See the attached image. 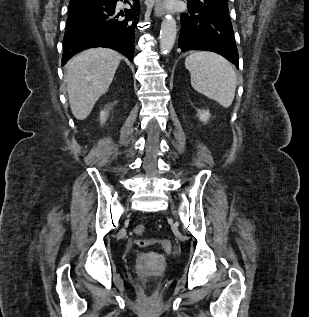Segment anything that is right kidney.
<instances>
[{"instance_id": "obj_1", "label": "right kidney", "mask_w": 309, "mask_h": 317, "mask_svg": "<svg viewBox=\"0 0 309 317\" xmlns=\"http://www.w3.org/2000/svg\"><path fill=\"white\" fill-rule=\"evenodd\" d=\"M108 117V112L107 111H101L100 112V121L101 123H104Z\"/></svg>"}]
</instances>
